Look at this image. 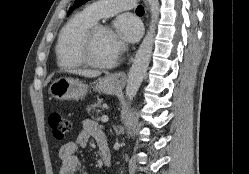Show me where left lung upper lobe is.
<instances>
[{"instance_id":"1","label":"left lung upper lobe","mask_w":249,"mask_h":174,"mask_svg":"<svg viewBox=\"0 0 249 174\" xmlns=\"http://www.w3.org/2000/svg\"><path fill=\"white\" fill-rule=\"evenodd\" d=\"M88 0H76L74 2V5L70 8L69 10V14L73 11L74 8H78L79 6H81L82 4H84L85 2H87Z\"/></svg>"}]
</instances>
